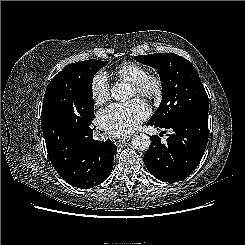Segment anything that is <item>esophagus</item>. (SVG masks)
<instances>
[{"label":"esophagus","mask_w":245,"mask_h":245,"mask_svg":"<svg viewBox=\"0 0 245 245\" xmlns=\"http://www.w3.org/2000/svg\"><path fill=\"white\" fill-rule=\"evenodd\" d=\"M130 138H131V136H128L126 139L129 140ZM123 142H125V139H119L116 141V143H118V144H121Z\"/></svg>","instance_id":"34e87169"}]
</instances>
